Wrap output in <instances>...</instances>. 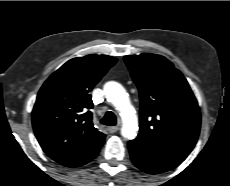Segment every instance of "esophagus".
Instances as JSON below:
<instances>
[{
  "label": "esophagus",
  "instance_id": "esophagus-1",
  "mask_svg": "<svg viewBox=\"0 0 230 186\" xmlns=\"http://www.w3.org/2000/svg\"><path fill=\"white\" fill-rule=\"evenodd\" d=\"M119 130V126H114V127H109L108 128V131L110 132V133H115V132H117Z\"/></svg>",
  "mask_w": 230,
  "mask_h": 186
}]
</instances>
